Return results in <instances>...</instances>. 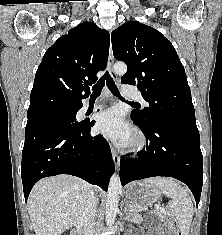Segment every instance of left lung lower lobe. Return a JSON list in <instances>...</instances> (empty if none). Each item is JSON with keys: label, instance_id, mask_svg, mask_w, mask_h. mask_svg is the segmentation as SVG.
<instances>
[{"label": "left lung lower lobe", "instance_id": "obj_1", "mask_svg": "<svg viewBox=\"0 0 222 235\" xmlns=\"http://www.w3.org/2000/svg\"><path fill=\"white\" fill-rule=\"evenodd\" d=\"M147 147L138 158L120 160L122 185L154 176L176 178L192 191L196 204L203 184V156L197 127L177 122L159 121L143 126Z\"/></svg>", "mask_w": 222, "mask_h": 235}]
</instances>
